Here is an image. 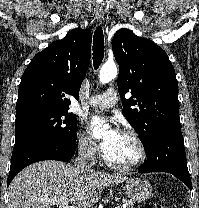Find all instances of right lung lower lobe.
<instances>
[{
  "mask_svg": "<svg viewBox=\"0 0 199 208\" xmlns=\"http://www.w3.org/2000/svg\"><path fill=\"white\" fill-rule=\"evenodd\" d=\"M76 146L64 147L55 142H34L13 150L7 185L26 166L42 160L68 161Z\"/></svg>",
  "mask_w": 199,
  "mask_h": 208,
  "instance_id": "right-lung-lower-lobe-1",
  "label": "right lung lower lobe"
}]
</instances>
